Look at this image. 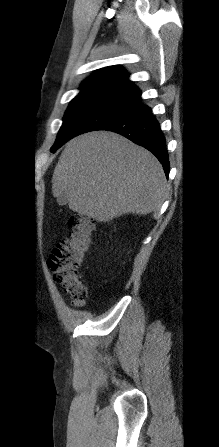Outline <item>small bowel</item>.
<instances>
[{"label":"small bowel","instance_id":"small-bowel-1","mask_svg":"<svg viewBox=\"0 0 219 447\" xmlns=\"http://www.w3.org/2000/svg\"><path fill=\"white\" fill-rule=\"evenodd\" d=\"M85 305V302L83 301V302H74L73 301V306L74 307H76V308H81V307H83Z\"/></svg>","mask_w":219,"mask_h":447}]
</instances>
